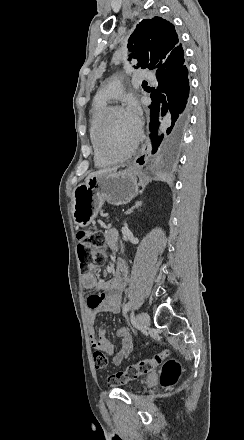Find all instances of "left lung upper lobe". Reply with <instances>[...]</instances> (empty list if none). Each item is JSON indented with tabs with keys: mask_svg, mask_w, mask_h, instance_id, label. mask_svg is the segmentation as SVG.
I'll list each match as a JSON object with an SVG mask.
<instances>
[{
	"mask_svg": "<svg viewBox=\"0 0 244 440\" xmlns=\"http://www.w3.org/2000/svg\"><path fill=\"white\" fill-rule=\"evenodd\" d=\"M128 42L131 58L138 59L135 68L157 70L184 57L174 25L160 17L142 20Z\"/></svg>",
	"mask_w": 244,
	"mask_h": 440,
	"instance_id": "obj_1",
	"label": "left lung upper lobe"
}]
</instances>
